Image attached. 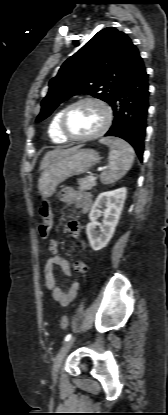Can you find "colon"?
Here are the masks:
<instances>
[{"label": "colon", "instance_id": "obj_1", "mask_svg": "<svg viewBox=\"0 0 168 415\" xmlns=\"http://www.w3.org/2000/svg\"><path fill=\"white\" fill-rule=\"evenodd\" d=\"M40 214L42 217V222L40 224L39 230H40L41 235L45 237L48 235L51 229L52 220H53L51 210L46 200H43L41 203ZM68 326H69L68 318L66 316H63L60 320V327L62 330H66Z\"/></svg>", "mask_w": 168, "mask_h": 415}]
</instances>
